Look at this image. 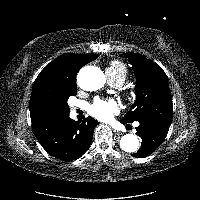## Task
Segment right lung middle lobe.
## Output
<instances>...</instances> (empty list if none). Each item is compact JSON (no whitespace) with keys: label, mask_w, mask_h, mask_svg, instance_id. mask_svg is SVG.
<instances>
[{"label":"right lung middle lobe","mask_w":200,"mask_h":200,"mask_svg":"<svg viewBox=\"0 0 200 200\" xmlns=\"http://www.w3.org/2000/svg\"><path fill=\"white\" fill-rule=\"evenodd\" d=\"M76 93L77 85H72L60 93L44 94L37 103L38 117L69 114L70 109L67 100L70 96L76 95Z\"/></svg>","instance_id":"right-lung-middle-lobe-1"}]
</instances>
